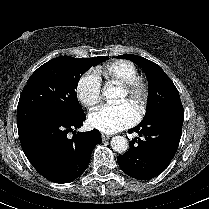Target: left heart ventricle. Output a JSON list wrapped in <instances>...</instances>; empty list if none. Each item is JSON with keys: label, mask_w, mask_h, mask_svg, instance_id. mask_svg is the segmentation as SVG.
<instances>
[{"label": "left heart ventricle", "mask_w": 209, "mask_h": 209, "mask_svg": "<svg viewBox=\"0 0 209 209\" xmlns=\"http://www.w3.org/2000/svg\"><path fill=\"white\" fill-rule=\"evenodd\" d=\"M139 99H140V93H138L134 97H130L122 90L120 98H119V102L120 103L128 102L129 104H131L136 109V107L138 105V102H139Z\"/></svg>", "instance_id": "b2bd125f"}]
</instances>
